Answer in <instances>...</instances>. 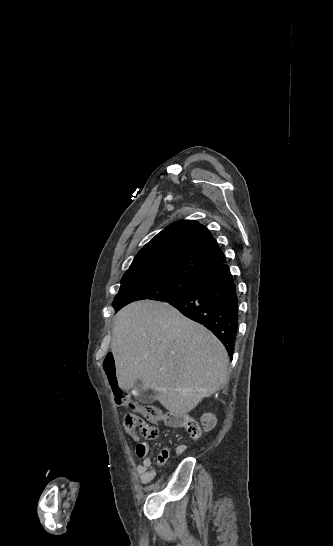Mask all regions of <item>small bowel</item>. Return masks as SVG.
<instances>
[{"label":"small bowel","mask_w":333,"mask_h":546,"mask_svg":"<svg viewBox=\"0 0 333 546\" xmlns=\"http://www.w3.org/2000/svg\"><path fill=\"white\" fill-rule=\"evenodd\" d=\"M156 410V414L149 416V419L155 423L159 421H165L171 426H177L181 423L177 418L173 416L164 415L160 410ZM212 422V419H209ZM187 426L188 432L193 439H199L201 437V430L193 423L183 424ZM136 442V455L141 459V463L137 467V473L140 477V481L143 484H148L154 478L156 473V467L153 460L150 458L151 445L149 442L141 441L136 433L131 435ZM187 449L185 444L178 445L175 449L177 455L183 454ZM170 448L164 447L157 456L156 462L163 465L169 458Z\"/></svg>","instance_id":"small-bowel-1"}]
</instances>
